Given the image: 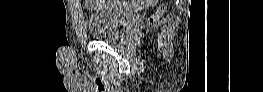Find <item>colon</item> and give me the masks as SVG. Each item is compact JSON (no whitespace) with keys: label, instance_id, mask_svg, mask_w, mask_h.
<instances>
[{"label":"colon","instance_id":"5ec220e1","mask_svg":"<svg viewBox=\"0 0 263 92\" xmlns=\"http://www.w3.org/2000/svg\"><path fill=\"white\" fill-rule=\"evenodd\" d=\"M104 1H100L98 4L99 5H103ZM145 2L147 3H156L157 1L155 0H146ZM165 10V5H164V1H160L159 6L157 7V10L155 12V14L150 18V22H153L159 15H161Z\"/></svg>","mask_w":263,"mask_h":92}]
</instances>
